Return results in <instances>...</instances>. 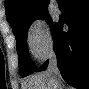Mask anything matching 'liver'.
<instances>
[{
  "instance_id": "liver-1",
  "label": "liver",
  "mask_w": 89,
  "mask_h": 89,
  "mask_svg": "<svg viewBox=\"0 0 89 89\" xmlns=\"http://www.w3.org/2000/svg\"><path fill=\"white\" fill-rule=\"evenodd\" d=\"M54 81L58 82V77L44 71L28 77L23 83L22 89H53Z\"/></svg>"
}]
</instances>
